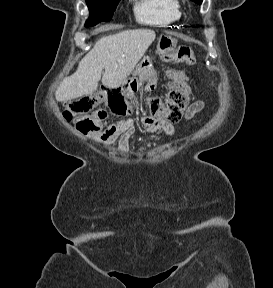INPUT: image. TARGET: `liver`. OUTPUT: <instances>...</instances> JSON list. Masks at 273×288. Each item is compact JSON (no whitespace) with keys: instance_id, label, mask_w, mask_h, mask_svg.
<instances>
[{"instance_id":"6515ba94","label":"liver","mask_w":273,"mask_h":288,"mask_svg":"<svg viewBox=\"0 0 273 288\" xmlns=\"http://www.w3.org/2000/svg\"><path fill=\"white\" fill-rule=\"evenodd\" d=\"M155 37L156 33L149 29L125 30L102 37L80 61L76 72L60 83L55 92L56 100L67 102L90 95L96 91L100 79L107 88L121 86Z\"/></svg>"}]
</instances>
